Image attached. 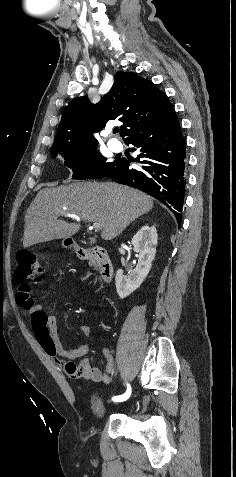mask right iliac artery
I'll use <instances>...</instances> for the list:
<instances>
[{"instance_id": "obj_1", "label": "right iliac artery", "mask_w": 236, "mask_h": 477, "mask_svg": "<svg viewBox=\"0 0 236 477\" xmlns=\"http://www.w3.org/2000/svg\"><path fill=\"white\" fill-rule=\"evenodd\" d=\"M130 395H131V386L130 384L127 383L126 392L122 395L112 397V399L110 400V403L115 405L117 404L121 405L122 403H125L127 399L130 398Z\"/></svg>"}]
</instances>
